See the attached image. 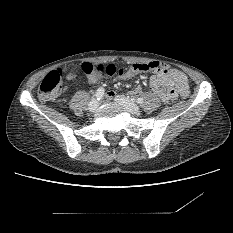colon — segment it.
Here are the masks:
<instances>
[{
    "instance_id": "5ec220e1",
    "label": "colon",
    "mask_w": 233,
    "mask_h": 233,
    "mask_svg": "<svg viewBox=\"0 0 233 233\" xmlns=\"http://www.w3.org/2000/svg\"><path fill=\"white\" fill-rule=\"evenodd\" d=\"M161 69L158 62H147V63H134L128 69L121 70L120 73L124 76H128L133 73H148L157 72ZM84 73L89 78H97L99 76H114L117 69L114 65H94L91 63H83L79 67L74 69H58L50 72L42 82L40 83L38 90V98L41 102H51L59 95L65 94L68 85L64 82L72 76ZM190 94L188 87H184L181 90V96L187 98Z\"/></svg>"
}]
</instances>
